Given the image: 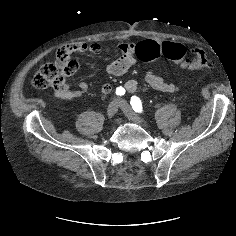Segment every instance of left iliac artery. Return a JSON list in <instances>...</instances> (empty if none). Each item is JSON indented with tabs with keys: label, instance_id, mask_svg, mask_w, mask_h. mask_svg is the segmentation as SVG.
Returning a JSON list of instances; mask_svg holds the SVG:
<instances>
[{
	"label": "left iliac artery",
	"instance_id": "44dca946",
	"mask_svg": "<svg viewBox=\"0 0 236 236\" xmlns=\"http://www.w3.org/2000/svg\"><path fill=\"white\" fill-rule=\"evenodd\" d=\"M130 104L136 113H142V102L137 96H132Z\"/></svg>",
	"mask_w": 236,
	"mask_h": 236
}]
</instances>
